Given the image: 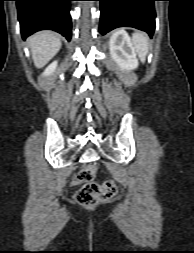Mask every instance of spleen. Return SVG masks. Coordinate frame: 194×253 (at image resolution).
I'll use <instances>...</instances> for the list:
<instances>
[{
	"label": "spleen",
	"mask_w": 194,
	"mask_h": 253,
	"mask_svg": "<svg viewBox=\"0 0 194 253\" xmlns=\"http://www.w3.org/2000/svg\"><path fill=\"white\" fill-rule=\"evenodd\" d=\"M132 44L140 60L145 62L148 53V37L145 33L136 32L132 35Z\"/></svg>",
	"instance_id": "obj_1"
}]
</instances>
